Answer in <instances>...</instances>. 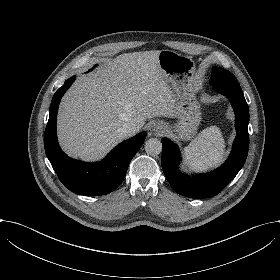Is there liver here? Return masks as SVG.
Listing matches in <instances>:
<instances>
[{
  "label": "liver",
  "mask_w": 280,
  "mask_h": 280,
  "mask_svg": "<svg viewBox=\"0 0 280 280\" xmlns=\"http://www.w3.org/2000/svg\"><path fill=\"white\" fill-rule=\"evenodd\" d=\"M159 51L122 53L78 75L57 115L62 151L86 163L103 161L119 144L118 129L143 128L148 118L174 116V98L158 67Z\"/></svg>",
  "instance_id": "liver-1"
}]
</instances>
